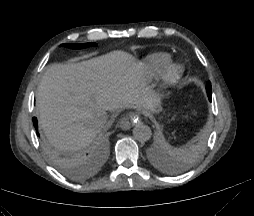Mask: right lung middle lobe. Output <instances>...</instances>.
<instances>
[{
  "label": "right lung middle lobe",
  "mask_w": 254,
  "mask_h": 216,
  "mask_svg": "<svg viewBox=\"0 0 254 216\" xmlns=\"http://www.w3.org/2000/svg\"><path fill=\"white\" fill-rule=\"evenodd\" d=\"M61 46L72 48V49H81V48H87L91 46H97L95 43H86V44H62ZM51 161L59 166L64 172L70 173V170L68 169L66 163L58 156H53L51 154H48Z\"/></svg>",
  "instance_id": "right-lung-middle-lobe-1"
}]
</instances>
